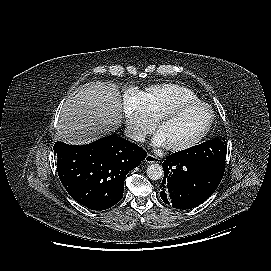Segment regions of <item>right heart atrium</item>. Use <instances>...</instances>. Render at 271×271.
I'll return each instance as SVG.
<instances>
[{"label":"right heart atrium","mask_w":271,"mask_h":271,"mask_svg":"<svg viewBox=\"0 0 271 271\" xmlns=\"http://www.w3.org/2000/svg\"><path fill=\"white\" fill-rule=\"evenodd\" d=\"M123 119L129 136L135 141H143L153 128L145 103V95L138 89L131 88L125 95Z\"/></svg>","instance_id":"d8ad5b80"}]
</instances>
